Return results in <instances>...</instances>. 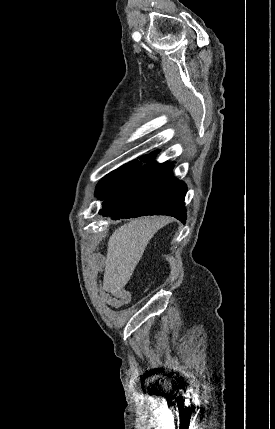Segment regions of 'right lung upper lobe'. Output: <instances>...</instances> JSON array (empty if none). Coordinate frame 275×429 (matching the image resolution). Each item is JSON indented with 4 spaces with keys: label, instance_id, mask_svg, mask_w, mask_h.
<instances>
[{
    "label": "right lung upper lobe",
    "instance_id": "obj_1",
    "mask_svg": "<svg viewBox=\"0 0 275 429\" xmlns=\"http://www.w3.org/2000/svg\"><path fill=\"white\" fill-rule=\"evenodd\" d=\"M155 155H156V152H152L149 155H145V156H143L141 158H150V159L153 160L155 158Z\"/></svg>",
    "mask_w": 275,
    "mask_h": 429
}]
</instances>
